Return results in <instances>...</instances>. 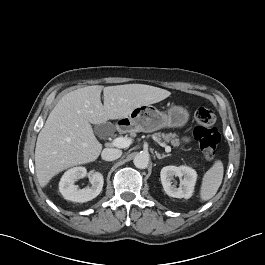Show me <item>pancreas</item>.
<instances>
[{
	"label": "pancreas",
	"instance_id": "pancreas-1",
	"mask_svg": "<svg viewBox=\"0 0 265 265\" xmlns=\"http://www.w3.org/2000/svg\"><path fill=\"white\" fill-rule=\"evenodd\" d=\"M154 139L158 142H163L164 144L170 143L174 147L180 146V140L178 139V136L175 133H155L153 135Z\"/></svg>",
	"mask_w": 265,
	"mask_h": 265
}]
</instances>
